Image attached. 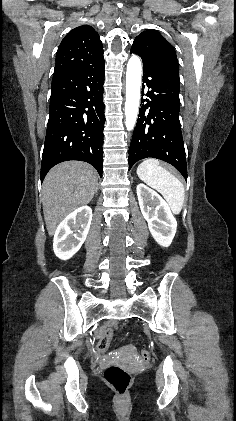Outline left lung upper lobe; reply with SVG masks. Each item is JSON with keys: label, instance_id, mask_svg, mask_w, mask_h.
<instances>
[{"label": "left lung upper lobe", "instance_id": "left-lung-upper-lobe-1", "mask_svg": "<svg viewBox=\"0 0 236 421\" xmlns=\"http://www.w3.org/2000/svg\"><path fill=\"white\" fill-rule=\"evenodd\" d=\"M141 56L149 60L179 71V64L176 52L172 45L156 30H146L139 34L132 45V48Z\"/></svg>", "mask_w": 236, "mask_h": 421}]
</instances>
